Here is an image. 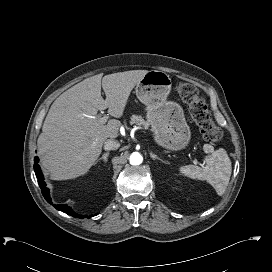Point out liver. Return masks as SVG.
I'll use <instances>...</instances> for the list:
<instances>
[{
  "mask_svg": "<svg viewBox=\"0 0 272 272\" xmlns=\"http://www.w3.org/2000/svg\"><path fill=\"white\" fill-rule=\"evenodd\" d=\"M147 72L98 74L74 85L53 102L37 141L41 164L53 180L72 179L89 171L104 142L117 138L121 127L116 119L102 123L98 111L108 108L111 116L122 117L131 91Z\"/></svg>",
  "mask_w": 272,
  "mask_h": 272,
  "instance_id": "6515ba94",
  "label": "liver"
}]
</instances>
